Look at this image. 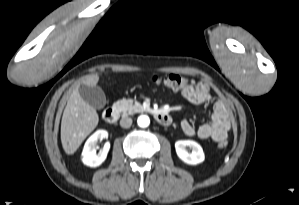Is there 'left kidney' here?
<instances>
[{
	"mask_svg": "<svg viewBox=\"0 0 299 205\" xmlns=\"http://www.w3.org/2000/svg\"><path fill=\"white\" fill-rule=\"evenodd\" d=\"M187 147L192 149L191 153L187 151ZM175 149L178 157L186 164L197 165L205 159L202 147L193 140L176 141Z\"/></svg>",
	"mask_w": 299,
	"mask_h": 205,
	"instance_id": "1",
	"label": "left kidney"
}]
</instances>
